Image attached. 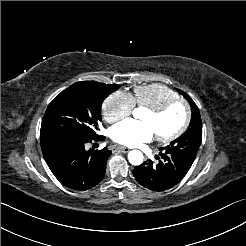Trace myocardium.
<instances>
[{
	"label": "myocardium",
	"instance_id": "1",
	"mask_svg": "<svg viewBox=\"0 0 246 246\" xmlns=\"http://www.w3.org/2000/svg\"><path fill=\"white\" fill-rule=\"evenodd\" d=\"M176 104L181 105L183 108L182 122L176 128V130L173 131L172 133L167 134V135H156V139L161 143H169L177 139L187 129L189 122H190V117H191V111H190L189 104L184 99L180 97H175V98L166 100L155 107H150L146 109L151 115L159 116L163 114L165 111H167L170 107Z\"/></svg>",
	"mask_w": 246,
	"mask_h": 246
}]
</instances>
